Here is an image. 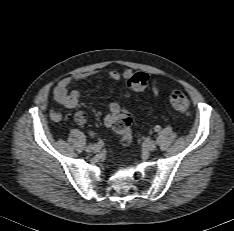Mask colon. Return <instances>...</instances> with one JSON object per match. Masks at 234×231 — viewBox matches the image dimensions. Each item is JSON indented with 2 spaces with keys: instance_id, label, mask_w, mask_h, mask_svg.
Wrapping results in <instances>:
<instances>
[{
  "instance_id": "obj_1",
  "label": "colon",
  "mask_w": 234,
  "mask_h": 231,
  "mask_svg": "<svg viewBox=\"0 0 234 231\" xmlns=\"http://www.w3.org/2000/svg\"><path fill=\"white\" fill-rule=\"evenodd\" d=\"M148 84V76L145 73H135L129 79L131 93L141 92ZM171 106L178 112L186 113L189 108L188 97L179 90L169 93ZM132 116L126 109L121 110L114 125V129L122 135V143L128 146L131 143Z\"/></svg>"
}]
</instances>
